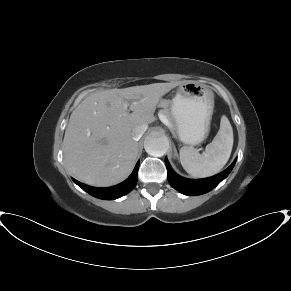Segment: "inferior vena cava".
<instances>
[{"mask_svg":"<svg viewBox=\"0 0 291 291\" xmlns=\"http://www.w3.org/2000/svg\"><path fill=\"white\" fill-rule=\"evenodd\" d=\"M147 127L142 125V126H136L133 130H132V136H133V139L135 141H138L142 135L145 133Z\"/></svg>","mask_w":291,"mask_h":291,"instance_id":"602c4592","label":"inferior vena cava"}]
</instances>
